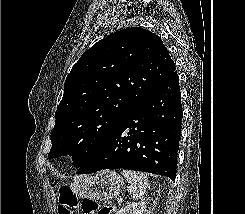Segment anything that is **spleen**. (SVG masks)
Segmentation results:
<instances>
[{
	"instance_id": "1",
	"label": "spleen",
	"mask_w": 245,
	"mask_h": 214,
	"mask_svg": "<svg viewBox=\"0 0 245 214\" xmlns=\"http://www.w3.org/2000/svg\"><path fill=\"white\" fill-rule=\"evenodd\" d=\"M121 174L130 184L128 191L130 192L131 197L133 199H141L148 187L147 175L145 173L133 170H123Z\"/></svg>"
}]
</instances>
